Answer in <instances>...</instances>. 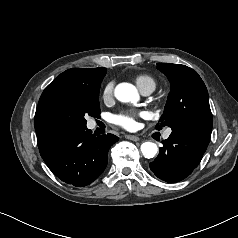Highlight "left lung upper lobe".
Returning a JSON list of instances; mask_svg holds the SVG:
<instances>
[{"label":"left lung upper lobe","instance_id":"left-lung-upper-lobe-1","mask_svg":"<svg viewBox=\"0 0 238 238\" xmlns=\"http://www.w3.org/2000/svg\"><path fill=\"white\" fill-rule=\"evenodd\" d=\"M157 68L167 76L171 84L165 110L159 120L160 125L169 126L172 131L210 139L213 119L203 80L185 65L157 63Z\"/></svg>","mask_w":238,"mask_h":238}]
</instances>
